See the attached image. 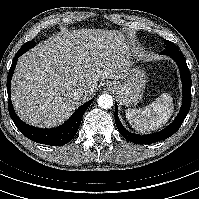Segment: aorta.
Returning <instances> with one entry per match:
<instances>
[{"label":"aorta","mask_w":199,"mask_h":199,"mask_svg":"<svg viewBox=\"0 0 199 199\" xmlns=\"http://www.w3.org/2000/svg\"><path fill=\"white\" fill-rule=\"evenodd\" d=\"M98 106L102 109H109L113 106V98L109 94H102L99 96Z\"/></svg>","instance_id":"obj_1"}]
</instances>
